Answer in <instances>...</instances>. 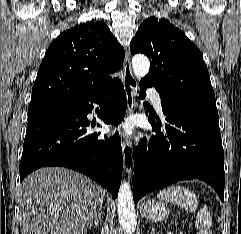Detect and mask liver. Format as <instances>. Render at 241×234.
Listing matches in <instances>:
<instances>
[{
  "mask_svg": "<svg viewBox=\"0 0 241 234\" xmlns=\"http://www.w3.org/2000/svg\"><path fill=\"white\" fill-rule=\"evenodd\" d=\"M105 194L69 169L36 170L19 190L21 234H83L101 211Z\"/></svg>",
  "mask_w": 241,
  "mask_h": 234,
  "instance_id": "6515ba94",
  "label": "liver"
}]
</instances>
